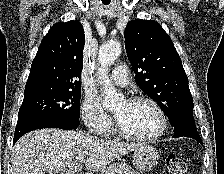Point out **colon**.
<instances>
[{
  "label": "colon",
  "instance_id": "colon-1",
  "mask_svg": "<svg viewBox=\"0 0 224 174\" xmlns=\"http://www.w3.org/2000/svg\"><path fill=\"white\" fill-rule=\"evenodd\" d=\"M166 165L170 174H184L186 171L185 162L176 155H169L166 158Z\"/></svg>",
  "mask_w": 224,
  "mask_h": 174
}]
</instances>
